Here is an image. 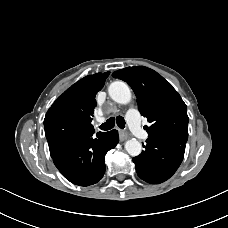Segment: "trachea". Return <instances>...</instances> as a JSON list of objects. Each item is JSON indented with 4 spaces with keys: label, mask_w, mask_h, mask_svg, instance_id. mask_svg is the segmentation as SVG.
Segmentation results:
<instances>
[{
    "label": "trachea",
    "mask_w": 228,
    "mask_h": 228,
    "mask_svg": "<svg viewBox=\"0 0 228 228\" xmlns=\"http://www.w3.org/2000/svg\"><path fill=\"white\" fill-rule=\"evenodd\" d=\"M115 124H117L118 127H120L121 129H124L126 123L122 116H117L116 118L111 117L105 123L101 124L99 128L101 130L107 131L112 129L115 126Z\"/></svg>",
    "instance_id": "trachea-1"
}]
</instances>
